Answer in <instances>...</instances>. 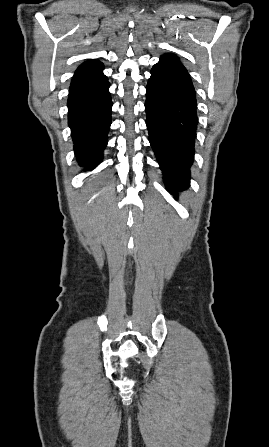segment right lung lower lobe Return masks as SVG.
Masks as SVG:
<instances>
[{"mask_svg":"<svg viewBox=\"0 0 269 447\" xmlns=\"http://www.w3.org/2000/svg\"><path fill=\"white\" fill-rule=\"evenodd\" d=\"M99 61L82 64L75 71L68 97V125L80 166L94 169L107 145L112 102L109 82Z\"/></svg>","mask_w":269,"mask_h":447,"instance_id":"98d812e1","label":"right lung lower lobe"}]
</instances>
